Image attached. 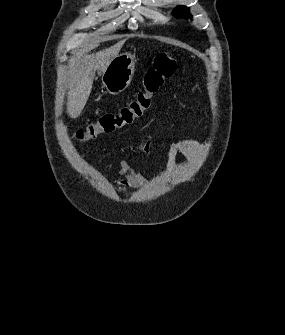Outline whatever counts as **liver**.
Returning a JSON list of instances; mask_svg holds the SVG:
<instances>
[{
	"label": "liver",
	"mask_w": 285,
	"mask_h": 335,
	"mask_svg": "<svg viewBox=\"0 0 285 335\" xmlns=\"http://www.w3.org/2000/svg\"><path fill=\"white\" fill-rule=\"evenodd\" d=\"M125 40L117 42L114 46L101 50L97 54H89L76 62L67 94V114L70 118H79L91 94L96 70L105 72L111 60L118 56Z\"/></svg>",
	"instance_id": "1"
}]
</instances>
